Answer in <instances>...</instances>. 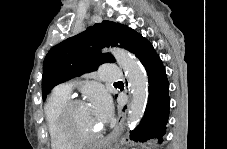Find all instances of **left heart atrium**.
<instances>
[{"mask_svg":"<svg viewBox=\"0 0 227 149\" xmlns=\"http://www.w3.org/2000/svg\"><path fill=\"white\" fill-rule=\"evenodd\" d=\"M95 112L100 123L108 120L111 112V104L108 96L104 93H96L94 96Z\"/></svg>","mask_w":227,"mask_h":149,"instance_id":"39dd6f15","label":"left heart atrium"}]
</instances>
